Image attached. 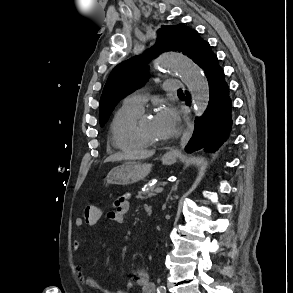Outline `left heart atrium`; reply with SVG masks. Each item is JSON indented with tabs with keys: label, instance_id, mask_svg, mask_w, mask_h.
<instances>
[{
	"label": "left heart atrium",
	"instance_id": "obj_1",
	"mask_svg": "<svg viewBox=\"0 0 293 293\" xmlns=\"http://www.w3.org/2000/svg\"><path fill=\"white\" fill-rule=\"evenodd\" d=\"M157 120L166 137L172 136L178 125V115L174 108L165 107L157 114Z\"/></svg>",
	"mask_w": 293,
	"mask_h": 293
}]
</instances>
